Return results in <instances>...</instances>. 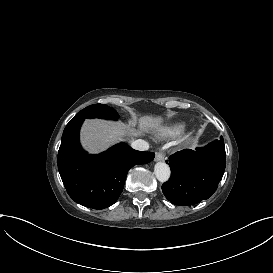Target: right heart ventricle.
<instances>
[{"label":"right heart ventricle","mask_w":273,"mask_h":273,"mask_svg":"<svg viewBox=\"0 0 273 273\" xmlns=\"http://www.w3.org/2000/svg\"><path fill=\"white\" fill-rule=\"evenodd\" d=\"M184 128H185L184 123H178V124L172 126L171 128H167V129L163 130L162 136L175 138L182 133Z\"/></svg>","instance_id":"1"}]
</instances>
